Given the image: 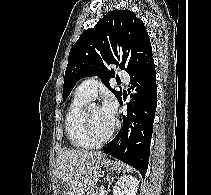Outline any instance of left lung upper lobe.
<instances>
[{
  "mask_svg": "<svg viewBox=\"0 0 211 195\" xmlns=\"http://www.w3.org/2000/svg\"><path fill=\"white\" fill-rule=\"evenodd\" d=\"M151 58V43L142 20L129 10L108 12L95 27L84 31L71 48L63 102L76 82L87 76H99L120 101L122 92L114 91L109 84L115 76L109 65L115 64L132 76Z\"/></svg>",
  "mask_w": 211,
  "mask_h": 195,
  "instance_id": "left-lung-upper-lobe-1",
  "label": "left lung upper lobe"
}]
</instances>
